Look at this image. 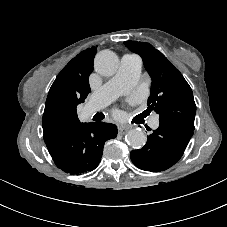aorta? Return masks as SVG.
Here are the masks:
<instances>
[{"label":"aorta","mask_w":227,"mask_h":227,"mask_svg":"<svg viewBox=\"0 0 227 227\" xmlns=\"http://www.w3.org/2000/svg\"><path fill=\"white\" fill-rule=\"evenodd\" d=\"M117 55L109 50L99 52L94 60L95 70L103 76H112L118 68ZM147 137L145 133L139 129H132L126 134V142L134 149H140L146 144Z\"/></svg>","instance_id":"1"}]
</instances>
